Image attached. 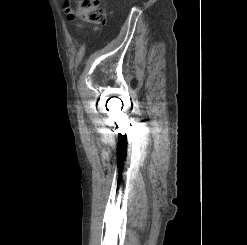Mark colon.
Instances as JSON below:
<instances>
[{
	"label": "colon",
	"mask_w": 247,
	"mask_h": 245,
	"mask_svg": "<svg viewBox=\"0 0 247 245\" xmlns=\"http://www.w3.org/2000/svg\"><path fill=\"white\" fill-rule=\"evenodd\" d=\"M78 13L77 15L83 20L101 24L106 19V12L99 7V0H77Z\"/></svg>",
	"instance_id": "obj_1"
}]
</instances>
